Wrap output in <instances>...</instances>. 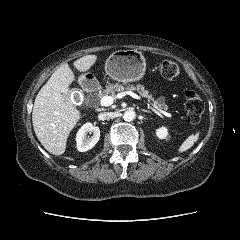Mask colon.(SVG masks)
Masks as SVG:
<instances>
[{
	"label": "colon",
	"instance_id": "colon-1",
	"mask_svg": "<svg viewBox=\"0 0 240 240\" xmlns=\"http://www.w3.org/2000/svg\"><path fill=\"white\" fill-rule=\"evenodd\" d=\"M159 70L166 79L176 78L180 71L177 63L172 60L163 61L159 66ZM184 105L188 121L192 124L198 123L204 113V101L200 95L194 91H187Z\"/></svg>",
	"mask_w": 240,
	"mask_h": 240
}]
</instances>
